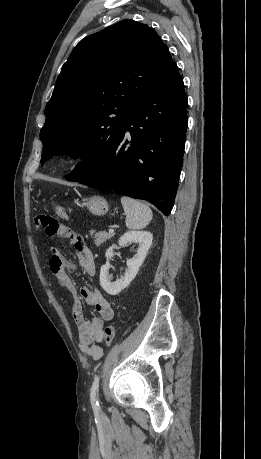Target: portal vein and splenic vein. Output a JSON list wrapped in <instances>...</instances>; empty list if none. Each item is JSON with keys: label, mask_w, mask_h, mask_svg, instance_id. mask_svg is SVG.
<instances>
[{"label": "portal vein and splenic vein", "mask_w": 261, "mask_h": 459, "mask_svg": "<svg viewBox=\"0 0 261 459\" xmlns=\"http://www.w3.org/2000/svg\"><path fill=\"white\" fill-rule=\"evenodd\" d=\"M109 233H114V229L113 228H109Z\"/></svg>", "instance_id": "obj_1"}]
</instances>
